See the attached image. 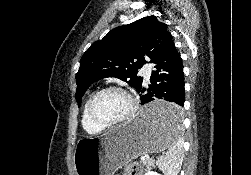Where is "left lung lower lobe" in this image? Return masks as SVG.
I'll use <instances>...</instances> for the list:
<instances>
[{
    "label": "left lung lower lobe",
    "mask_w": 251,
    "mask_h": 175,
    "mask_svg": "<svg viewBox=\"0 0 251 175\" xmlns=\"http://www.w3.org/2000/svg\"><path fill=\"white\" fill-rule=\"evenodd\" d=\"M156 64L152 71L149 89H138L141 93V104L156 99L169 101L173 104H164L145 110L141 120L149 124H175L183 117L184 106V73L180 54L174 46L170 34L158 55L152 60Z\"/></svg>",
    "instance_id": "left-lung-lower-lobe-1"
}]
</instances>
